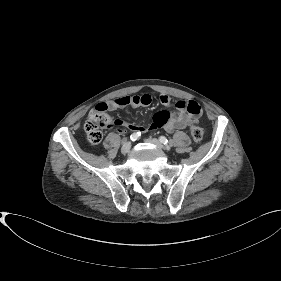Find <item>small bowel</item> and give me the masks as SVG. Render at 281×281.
<instances>
[{"instance_id":"obj_1","label":"small bowel","mask_w":281,"mask_h":281,"mask_svg":"<svg viewBox=\"0 0 281 281\" xmlns=\"http://www.w3.org/2000/svg\"><path fill=\"white\" fill-rule=\"evenodd\" d=\"M152 97L149 94L123 96L107 102H101L96 105L97 109L104 110H116L125 107H145L150 105ZM159 102L164 108L171 106V99L166 94L159 96ZM176 110L170 112L168 110H161L156 112L150 124L141 125L133 122H126L122 119L115 120L116 127H123L134 133H146L154 131L159 128H164L168 132H172L176 129H185L191 124L197 122L198 117L201 114L200 106L194 101H177L175 104ZM120 132L123 129H119Z\"/></svg>"}]
</instances>
